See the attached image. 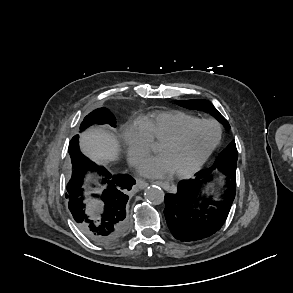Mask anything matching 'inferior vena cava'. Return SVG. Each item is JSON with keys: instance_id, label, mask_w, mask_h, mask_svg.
Returning a JSON list of instances; mask_svg holds the SVG:
<instances>
[{"instance_id": "1", "label": "inferior vena cava", "mask_w": 293, "mask_h": 293, "mask_svg": "<svg viewBox=\"0 0 293 293\" xmlns=\"http://www.w3.org/2000/svg\"><path fill=\"white\" fill-rule=\"evenodd\" d=\"M136 162H137V159H134V164H136Z\"/></svg>"}]
</instances>
